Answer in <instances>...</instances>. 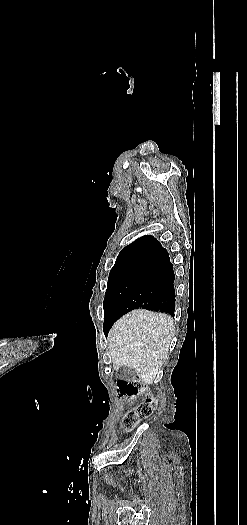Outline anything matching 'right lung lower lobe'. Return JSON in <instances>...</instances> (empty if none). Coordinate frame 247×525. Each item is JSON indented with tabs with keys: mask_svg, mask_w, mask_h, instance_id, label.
Segmentation results:
<instances>
[{
	"mask_svg": "<svg viewBox=\"0 0 247 525\" xmlns=\"http://www.w3.org/2000/svg\"><path fill=\"white\" fill-rule=\"evenodd\" d=\"M175 275L169 254L165 250L156 256L146 273L137 281L119 308L120 317L134 309L166 312L174 316ZM111 328V327H110ZM109 327H103L107 336Z\"/></svg>",
	"mask_w": 247,
	"mask_h": 525,
	"instance_id": "obj_1",
	"label": "right lung lower lobe"
}]
</instances>
